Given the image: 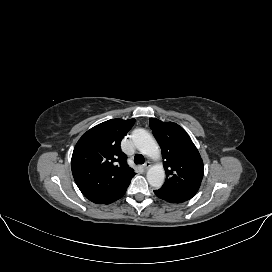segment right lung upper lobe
<instances>
[{
    "instance_id": "right-lung-upper-lobe-1",
    "label": "right lung upper lobe",
    "mask_w": 272,
    "mask_h": 272,
    "mask_svg": "<svg viewBox=\"0 0 272 272\" xmlns=\"http://www.w3.org/2000/svg\"><path fill=\"white\" fill-rule=\"evenodd\" d=\"M134 123L135 119H111L88 130L77 142L72 174L88 200L108 204L129 186L135 172L126 163L120 143Z\"/></svg>"
}]
</instances>
